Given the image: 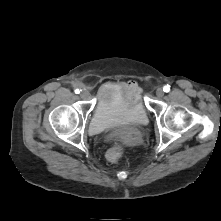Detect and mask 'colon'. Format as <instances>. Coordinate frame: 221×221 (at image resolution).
Listing matches in <instances>:
<instances>
[{
	"label": "colon",
	"instance_id": "obj_1",
	"mask_svg": "<svg viewBox=\"0 0 221 221\" xmlns=\"http://www.w3.org/2000/svg\"><path fill=\"white\" fill-rule=\"evenodd\" d=\"M122 152H123L122 146L116 144L109 149L107 157L110 161L116 162L121 158Z\"/></svg>",
	"mask_w": 221,
	"mask_h": 221
}]
</instances>
